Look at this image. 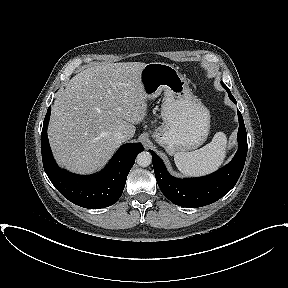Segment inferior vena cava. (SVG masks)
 Listing matches in <instances>:
<instances>
[{"label": "inferior vena cava", "instance_id": "1", "mask_svg": "<svg viewBox=\"0 0 288 288\" xmlns=\"http://www.w3.org/2000/svg\"><path fill=\"white\" fill-rule=\"evenodd\" d=\"M115 138H116L117 140L123 142V141H125L126 136H125V134H124L123 132H117V133L115 134Z\"/></svg>", "mask_w": 288, "mask_h": 288}]
</instances>
